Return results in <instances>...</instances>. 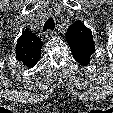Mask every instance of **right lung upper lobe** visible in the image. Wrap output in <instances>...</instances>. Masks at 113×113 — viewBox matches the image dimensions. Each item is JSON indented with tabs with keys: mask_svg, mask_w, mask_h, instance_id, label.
Here are the masks:
<instances>
[{
	"mask_svg": "<svg viewBox=\"0 0 113 113\" xmlns=\"http://www.w3.org/2000/svg\"><path fill=\"white\" fill-rule=\"evenodd\" d=\"M42 45L34 33L25 30L16 44V58L27 67H33L40 59Z\"/></svg>",
	"mask_w": 113,
	"mask_h": 113,
	"instance_id": "1",
	"label": "right lung upper lobe"
}]
</instances>
